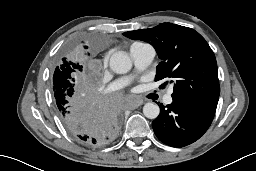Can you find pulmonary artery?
Listing matches in <instances>:
<instances>
[{
    "instance_id": "pulmonary-artery-1",
    "label": "pulmonary artery",
    "mask_w": 256,
    "mask_h": 171,
    "mask_svg": "<svg viewBox=\"0 0 256 171\" xmlns=\"http://www.w3.org/2000/svg\"><path fill=\"white\" fill-rule=\"evenodd\" d=\"M130 54L137 71L145 70L153 61L155 57V50L149 44L135 43L130 48ZM131 76H126L117 79L110 83L107 87V92L116 91L124 86H126L131 80ZM165 104H170L172 102V91H169L164 97Z\"/></svg>"
}]
</instances>
